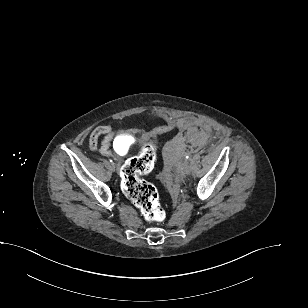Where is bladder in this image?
Returning a JSON list of instances; mask_svg holds the SVG:
<instances>
[{
	"label": "bladder",
	"instance_id": "31cf9c89",
	"mask_svg": "<svg viewBox=\"0 0 308 308\" xmlns=\"http://www.w3.org/2000/svg\"><path fill=\"white\" fill-rule=\"evenodd\" d=\"M131 144V138L127 133L119 134L114 142V147L118 151L119 154H124L127 152L129 146Z\"/></svg>",
	"mask_w": 308,
	"mask_h": 308
}]
</instances>
